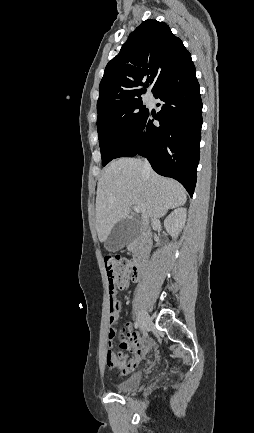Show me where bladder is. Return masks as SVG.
<instances>
[{"instance_id": "bladder-1", "label": "bladder", "mask_w": 254, "mask_h": 433, "mask_svg": "<svg viewBox=\"0 0 254 433\" xmlns=\"http://www.w3.org/2000/svg\"><path fill=\"white\" fill-rule=\"evenodd\" d=\"M142 380L141 374H135L115 385V389L119 393H129L138 389Z\"/></svg>"}]
</instances>
